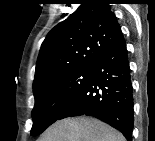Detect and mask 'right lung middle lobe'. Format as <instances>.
<instances>
[{
    "label": "right lung middle lobe",
    "mask_w": 155,
    "mask_h": 141,
    "mask_svg": "<svg viewBox=\"0 0 155 141\" xmlns=\"http://www.w3.org/2000/svg\"><path fill=\"white\" fill-rule=\"evenodd\" d=\"M92 68H76L51 76L33 87L31 135L37 136L57 121L88 82Z\"/></svg>",
    "instance_id": "right-lung-middle-lobe-1"
}]
</instances>
